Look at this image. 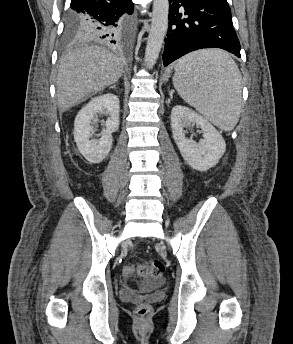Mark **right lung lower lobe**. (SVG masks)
Listing matches in <instances>:
<instances>
[{
	"label": "right lung lower lobe",
	"instance_id": "98d812e1",
	"mask_svg": "<svg viewBox=\"0 0 293 344\" xmlns=\"http://www.w3.org/2000/svg\"><path fill=\"white\" fill-rule=\"evenodd\" d=\"M71 11L85 16L83 40L122 43L133 13L132 0H72Z\"/></svg>",
	"mask_w": 293,
	"mask_h": 344
}]
</instances>
